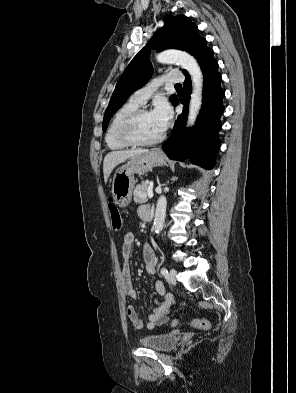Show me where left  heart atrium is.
Masks as SVG:
<instances>
[{"label": "left heart atrium", "instance_id": "left-heart-atrium-1", "mask_svg": "<svg viewBox=\"0 0 296 393\" xmlns=\"http://www.w3.org/2000/svg\"><path fill=\"white\" fill-rule=\"evenodd\" d=\"M152 114L160 129L164 131L172 118L171 106L165 100H161L156 103Z\"/></svg>", "mask_w": 296, "mask_h": 393}]
</instances>
